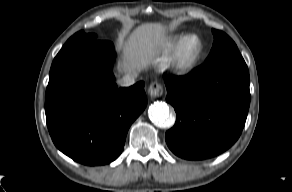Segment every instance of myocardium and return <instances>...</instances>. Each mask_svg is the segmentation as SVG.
Here are the masks:
<instances>
[{
  "label": "myocardium",
  "instance_id": "myocardium-1",
  "mask_svg": "<svg viewBox=\"0 0 292 192\" xmlns=\"http://www.w3.org/2000/svg\"><path fill=\"white\" fill-rule=\"evenodd\" d=\"M195 39L198 43L196 51L191 55H186L185 50L187 43ZM204 51L202 39L196 34H188L181 38L176 47L173 49L169 63L174 72L187 73L191 71L199 62Z\"/></svg>",
  "mask_w": 292,
  "mask_h": 192
}]
</instances>
